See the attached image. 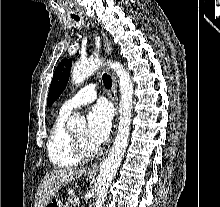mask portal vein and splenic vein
Instances as JSON below:
<instances>
[{"label":"portal vein and splenic vein","instance_id":"1","mask_svg":"<svg viewBox=\"0 0 220 207\" xmlns=\"http://www.w3.org/2000/svg\"><path fill=\"white\" fill-rule=\"evenodd\" d=\"M79 204H80V200H79L78 198L75 199V200H74V205L77 206V205H79Z\"/></svg>","mask_w":220,"mask_h":207}]
</instances>
